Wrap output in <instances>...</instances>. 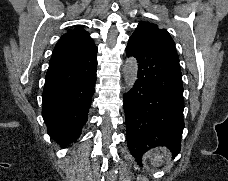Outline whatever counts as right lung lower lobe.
<instances>
[{"mask_svg": "<svg viewBox=\"0 0 228 181\" xmlns=\"http://www.w3.org/2000/svg\"><path fill=\"white\" fill-rule=\"evenodd\" d=\"M97 47L49 63L42 115L47 132L62 147L75 141L87 121L96 82Z\"/></svg>", "mask_w": 228, "mask_h": 181, "instance_id": "98d812e1", "label": "right lung lower lobe"}]
</instances>
